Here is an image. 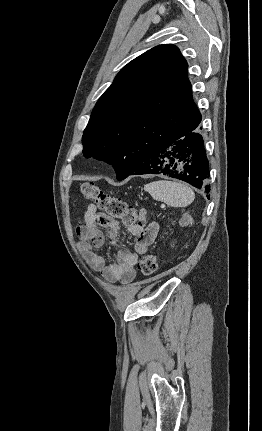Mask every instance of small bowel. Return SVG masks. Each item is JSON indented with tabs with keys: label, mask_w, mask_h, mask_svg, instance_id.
I'll return each mask as SVG.
<instances>
[{
	"label": "small bowel",
	"mask_w": 262,
	"mask_h": 431,
	"mask_svg": "<svg viewBox=\"0 0 262 431\" xmlns=\"http://www.w3.org/2000/svg\"><path fill=\"white\" fill-rule=\"evenodd\" d=\"M120 223L97 211L95 204H89L84 213L81 225L76 229L80 240L79 245L84 251L91 267L101 273L109 281L121 285L129 284L135 277V263L138 256L148 251L154 243L159 230V223L151 222L146 228L143 225H127V231L136 237L134 252L117 248L115 260L106 263L98 252L105 243L102 229L110 230V240L115 245L118 238Z\"/></svg>",
	"instance_id": "1"
}]
</instances>
